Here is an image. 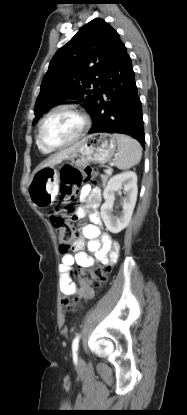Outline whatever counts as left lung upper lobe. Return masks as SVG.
<instances>
[{"label": "left lung upper lobe", "instance_id": "1", "mask_svg": "<svg viewBox=\"0 0 187 415\" xmlns=\"http://www.w3.org/2000/svg\"><path fill=\"white\" fill-rule=\"evenodd\" d=\"M119 34L104 20L94 19L53 56L37 98L33 125L64 99H76L92 115L103 70Z\"/></svg>", "mask_w": 187, "mask_h": 415}]
</instances>
